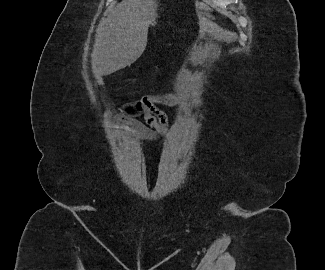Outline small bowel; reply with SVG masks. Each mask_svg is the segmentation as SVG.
Segmentation results:
<instances>
[{"label": "small bowel", "mask_w": 325, "mask_h": 270, "mask_svg": "<svg viewBox=\"0 0 325 270\" xmlns=\"http://www.w3.org/2000/svg\"><path fill=\"white\" fill-rule=\"evenodd\" d=\"M179 103L180 99L174 96L146 97L131 107L132 114L135 116H143L146 125L140 121H133L132 123L145 138L150 140H160L167 133H171L172 137H176L179 135L181 124L171 128L167 116L156 105L164 104L173 107Z\"/></svg>", "instance_id": "obj_1"}]
</instances>
